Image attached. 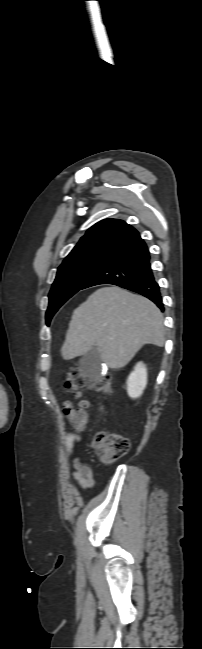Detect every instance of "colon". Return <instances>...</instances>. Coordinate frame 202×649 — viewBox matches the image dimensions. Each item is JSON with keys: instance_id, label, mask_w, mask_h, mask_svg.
Returning a JSON list of instances; mask_svg holds the SVG:
<instances>
[{"instance_id": "5ec220e1", "label": "colon", "mask_w": 202, "mask_h": 649, "mask_svg": "<svg viewBox=\"0 0 202 649\" xmlns=\"http://www.w3.org/2000/svg\"><path fill=\"white\" fill-rule=\"evenodd\" d=\"M65 387L76 396H80L85 387L99 394L107 395L112 390V379L110 376L104 375L89 381L78 370L72 369L66 374ZM63 411L75 429L81 431L86 427L89 419L86 401H82L79 406H75L70 401H65ZM91 446L103 463H113L127 454L130 441L121 434L98 431L92 438Z\"/></svg>"}]
</instances>
